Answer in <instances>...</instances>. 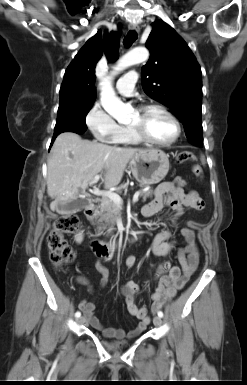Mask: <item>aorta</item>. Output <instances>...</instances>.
I'll return each instance as SVG.
<instances>
[{
  "label": "aorta",
  "mask_w": 247,
  "mask_h": 385,
  "mask_svg": "<svg viewBox=\"0 0 247 385\" xmlns=\"http://www.w3.org/2000/svg\"><path fill=\"white\" fill-rule=\"evenodd\" d=\"M148 58L149 52L146 48L131 50L118 61L111 76L101 82V104L106 112L117 120H121L131 113L132 108L116 96L112 86V76L129 66L144 62Z\"/></svg>",
  "instance_id": "obj_1"
}]
</instances>
